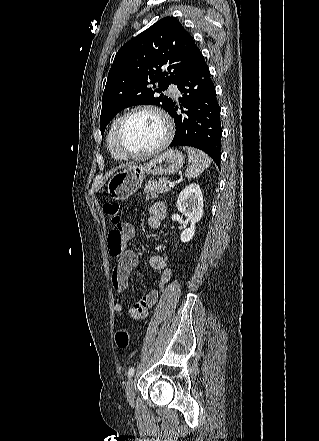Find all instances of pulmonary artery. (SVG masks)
<instances>
[{"mask_svg":"<svg viewBox=\"0 0 319 441\" xmlns=\"http://www.w3.org/2000/svg\"><path fill=\"white\" fill-rule=\"evenodd\" d=\"M168 92H169L172 96H174V97H179V95H180V92H179L177 86H176V85H173V84H171V85L169 86V88H168Z\"/></svg>","mask_w":319,"mask_h":441,"instance_id":"1","label":"pulmonary artery"}]
</instances>
